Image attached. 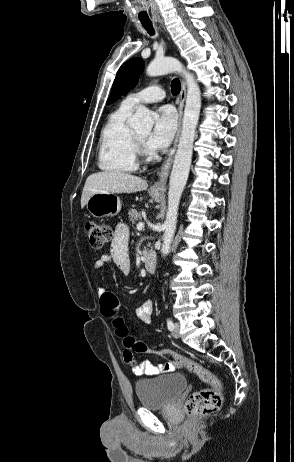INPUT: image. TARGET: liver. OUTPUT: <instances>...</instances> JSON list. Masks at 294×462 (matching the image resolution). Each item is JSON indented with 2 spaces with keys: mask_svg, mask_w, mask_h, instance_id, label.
<instances>
[{
  "mask_svg": "<svg viewBox=\"0 0 294 462\" xmlns=\"http://www.w3.org/2000/svg\"><path fill=\"white\" fill-rule=\"evenodd\" d=\"M147 187L146 180L128 173L116 171L94 173L86 179L81 195V208H84L90 196L95 193H134Z\"/></svg>",
  "mask_w": 294,
  "mask_h": 462,
  "instance_id": "1",
  "label": "liver"
}]
</instances>
